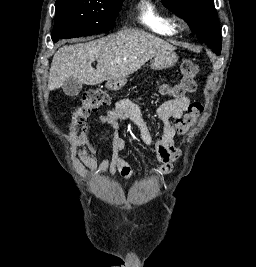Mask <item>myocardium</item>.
<instances>
[{
	"mask_svg": "<svg viewBox=\"0 0 256 267\" xmlns=\"http://www.w3.org/2000/svg\"><path fill=\"white\" fill-rule=\"evenodd\" d=\"M178 18H179L180 24H181L182 26H186V25H187V23H186L184 17H183L181 14L178 15Z\"/></svg>",
	"mask_w": 256,
	"mask_h": 267,
	"instance_id": "1",
	"label": "myocardium"
}]
</instances>
